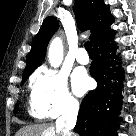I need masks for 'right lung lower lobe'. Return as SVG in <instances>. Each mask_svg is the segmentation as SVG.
<instances>
[{
	"mask_svg": "<svg viewBox=\"0 0 136 136\" xmlns=\"http://www.w3.org/2000/svg\"><path fill=\"white\" fill-rule=\"evenodd\" d=\"M113 37L102 40L94 46L96 57L91 64L90 74L96 79L98 86L90 91L81 103L74 128L81 136H116L119 125L118 111L123 98L121 93L123 69L118 67L114 74L113 69L109 67L116 58L113 55L115 45L111 42ZM114 77L118 79V84L109 82Z\"/></svg>",
	"mask_w": 136,
	"mask_h": 136,
	"instance_id": "1",
	"label": "right lung lower lobe"
}]
</instances>
